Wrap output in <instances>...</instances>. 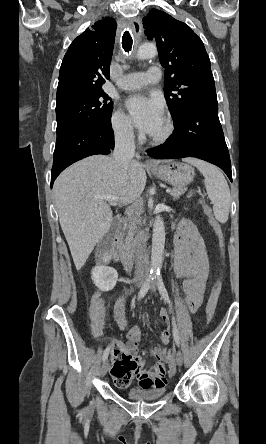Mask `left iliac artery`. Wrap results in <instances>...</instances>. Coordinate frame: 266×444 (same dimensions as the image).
<instances>
[{
    "mask_svg": "<svg viewBox=\"0 0 266 444\" xmlns=\"http://www.w3.org/2000/svg\"><path fill=\"white\" fill-rule=\"evenodd\" d=\"M155 280L159 289V293L161 294V296L163 297V299L165 300V302H167L170 306V308L172 309V304L170 302L169 296H168V292L165 288V285L163 283L162 280V276L159 274L155 275ZM172 323H173V337H174V341L175 343L179 346L180 344V338H179V333H178V329L175 323V318L172 317Z\"/></svg>",
    "mask_w": 266,
    "mask_h": 444,
    "instance_id": "1",
    "label": "left iliac artery"
}]
</instances>
